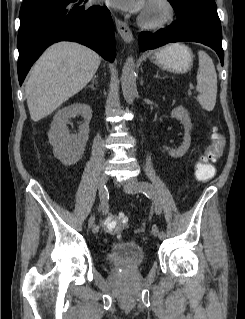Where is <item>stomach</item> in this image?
Returning <instances> with one entry per match:
<instances>
[{
	"label": "stomach",
	"mask_w": 245,
	"mask_h": 319,
	"mask_svg": "<svg viewBox=\"0 0 245 319\" xmlns=\"http://www.w3.org/2000/svg\"><path fill=\"white\" fill-rule=\"evenodd\" d=\"M150 59L165 70L185 73L192 67L193 54L186 45L173 43L155 51Z\"/></svg>",
	"instance_id": "0dacf381"
}]
</instances>
